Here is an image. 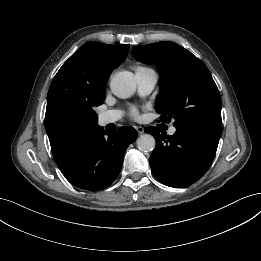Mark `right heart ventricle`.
Here are the masks:
<instances>
[{"label":"right heart ventricle","instance_id":"e07e8e85","mask_svg":"<svg viewBox=\"0 0 261 261\" xmlns=\"http://www.w3.org/2000/svg\"><path fill=\"white\" fill-rule=\"evenodd\" d=\"M148 71H153L151 68L146 67V66H141L138 65L135 67V72L137 73H143V72H148Z\"/></svg>","mask_w":261,"mask_h":261}]
</instances>
